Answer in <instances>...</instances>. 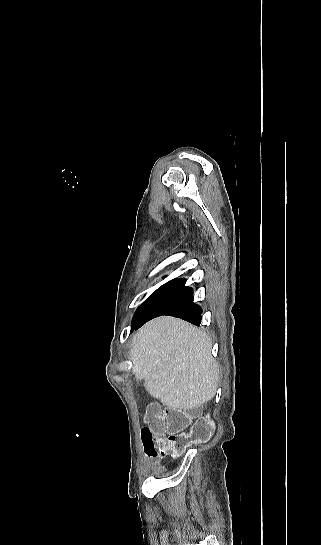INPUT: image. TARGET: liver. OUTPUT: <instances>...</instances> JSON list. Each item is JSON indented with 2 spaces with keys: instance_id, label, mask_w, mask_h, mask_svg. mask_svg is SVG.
Here are the masks:
<instances>
[{
  "instance_id": "liver-1",
  "label": "liver",
  "mask_w": 321,
  "mask_h": 545,
  "mask_svg": "<svg viewBox=\"0 0 321 545\" xmlns=\"http://www.w3.org/2000/svg\"><path fill=\"white\" fill-rule=\"evenodd\" d=\"M211 349L210 337L197 327L158 317L132 339V373L169 409L191 411L215 397L220 375Z\"/></svg>"
}]
</instances>
